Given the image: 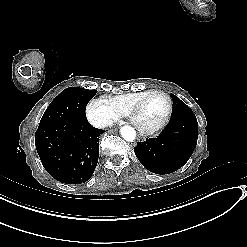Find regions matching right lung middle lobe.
<instances>
[{
  "label": "right lung middle lobe",
  "mask_w": 247,
  "mask_h": 247,
  "mask_svg": "<svg viewBox=\"0 0 247 247\" xmlns=\"http://www.w3.org/2000/svg\"><path fill=\"white\" fill-rule=\"evenodd\" d=\"M96 92L79 87L66 88L50 103L39 125L61 120H86V105Z\"/></svg>",
  "instance_id": "1"
}]
</instances>
